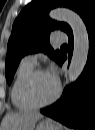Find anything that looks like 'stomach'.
Masks as SVG:
<instances>
[{
  "label": "stomach",
  "instance_id": "1",
  "mask_svg": "<svg viewBox=\"0 0 95 130\" xmlns=\"http://www.w3.org/2000/svg\"><path fill=\"white\" fill-rule=\"evenodd\" d=\"M36 130H60V126L53 120H43L37 124Z\"/></svg>",
  "mask_w": 95,
  "mask_h": 130
}]
</instances>
